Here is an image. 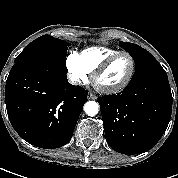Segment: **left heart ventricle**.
<instances>
[{
    "mask_svg": "<svg viewBox=\"0 0 178 178\" xmlns=\"http://www.w3.org/2000/svg\"><path fill=\"white\" fill-rule=\"evenodd\" d=\"M131 69L129 57L122 56L115 60L98 78L97 83L103 88H111L122 83Z\"/></svg>",
    "mask_w": 178,
    "mask_h": 178,
    "instance_id": "b2bd125f",
    "label": "left heart ventricle"
}]
</instances>
